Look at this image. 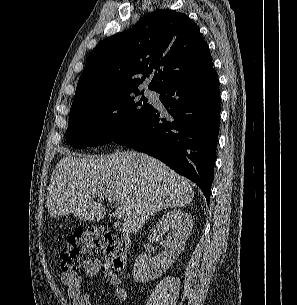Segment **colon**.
Returning a JSON list of instances; mask_svg holds the SVG:
<instances>
[{
  "label": "colon",
  "mask_w": 297,
  "mask_h": 305,
  "mask_svg": "<svg viewBox=\"0 0 297 305\" xmlns=\"http://www.w3.org/2000/svg\"><path fill=\"white\" fill-rule=\"evenodd\" d=\"M93 252L102 253L107 265L117 274L127 265V247L121 237L104 229L88 228L75 232L65 241L60 251V267L63 271L79 269Z\"/></svg>",
  "instance_id": "obj_1"
}]
</instances>
